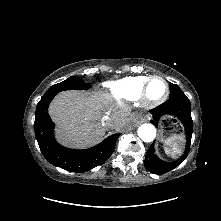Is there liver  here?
Here are the masks:
<instances>
[{
  "instance_id": "1",
  "label": "liver",
  "mask_w": 221,
  "mask_h": 221,
  "mask_svg": "<svg viewBox=\"0 0 221 221\" xmlns=\"http://www.w3.org/2000/svg\"><path fill=\"white\" fill-rule=\"evenodd\" d=\"M49 114L57 125L56 135L62 144L86 148L100 142L106 130L121 131L129 127L130 108L114 102L105 92L64 91L49 106ZM107 115L113 119L111 127L101 124Z\"/></svg>"
}]
</instances>
